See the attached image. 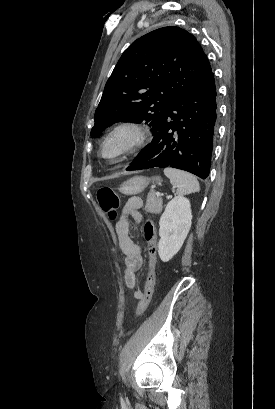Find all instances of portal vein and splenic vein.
Returning <instances> with one entry per match:
<instances>
[{"mask_svg": "<svg viewBox=\"0 0 275 409\" xmlns=\"http://www.w3.org/2000/svg\"><path fill=\"white\" fill-rule=\"evenodd\" d=\"M156 194H160V192H156ZM168 198H169V196H168Z\"/></svg>", "mask_w": 275, "mask_h": 409, "instance_id": "portal-vein-and-splenic-vein-1", "label": "portal vein and splenic vein"}]
</instances>
